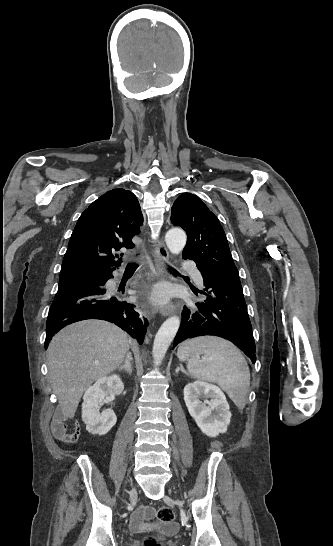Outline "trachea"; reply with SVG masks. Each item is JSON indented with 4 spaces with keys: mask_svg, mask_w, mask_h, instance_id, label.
I'll return each instance as SVG.
<instances>
[{
    "mask_svg": "<svg viewBox=\"0 0 333 546\" xmlns=\"http://www.w3.org/2000/svg\"><path fill=\"white\" fill-rule=\"evenodd\" d=\"M137 266H138V264H136V263L133 262V263H129V264L127 265V268L135 269V268H137ZM169 268H170V270H171L172 272H177L175 269H173V268H171V267H169Z\"/></svg>",
    "mask_w": 333,
    "mask_h": 546,
    "instance_id": "obj_1",
    "label": "trachea"
}]
</instances>
